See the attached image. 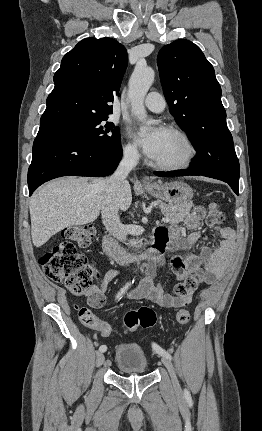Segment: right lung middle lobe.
Masks as SVG:
<instances>
[{
  "instance_id": "1",
  "label": "right lung middle lobe",
  "mask_w": 262,
  "mask_h": 431,
  "mask_svg": "<svg viewBox=\"0 0 262 431\" xmlns=\"http://www.w3.org/2000/svg\"><path fill=\"white\" fill-rule=\"evenodd\" d=\"M107 120V115L74 119L62 123L40 126L39 131H54L68 134L84 141L106 147L116 146L121 143L118 127Z\"/></svg>"
}]
</instances>
